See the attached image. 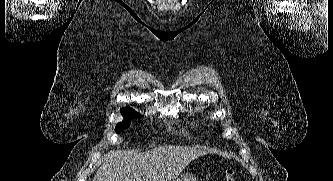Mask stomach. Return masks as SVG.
<instances>
[{
    "mask_svg": "<svg viewBox=\"0 0 333 181\" xmlns=\"http://www.w3.org/2000/svg\"><path fill=\"white\" fill-rule=\"evenodd\" d=\"M176 181H196V177L192 173H184L177 177Z\"/></svg>",
    "mask_w": 333,
    "mask_h": 181,
    "instance_id": "obj_1",
    "label": "stomach"
}]
</instances>
